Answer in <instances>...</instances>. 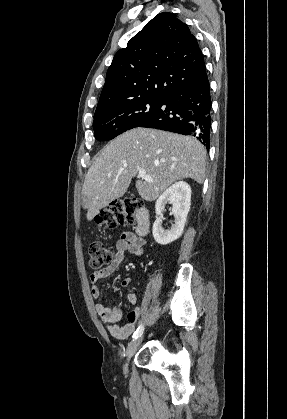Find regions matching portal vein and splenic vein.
I'll list each match as a JSON object with an SVG mask.
<instances>
[{
  "instance_id": "portal-vein-and-splenic-vein-1",
  "label": "portal vein and splenic vein",
  "mask_w": 287,
  "mask_h": 419,
  "mask_svg": "<svg viewBox=\"0 0 287 419\" xmlns=\"http://www.w3.org/2000/svg\"><path fill=\"white\" fill-rule=\"evenodd\" d=\"M138 176H139V178H142V179H144V180H146L148 182H152L153 181V179L146 174V171L145 170H139Z\"/></svg>"
}]
</instances>
